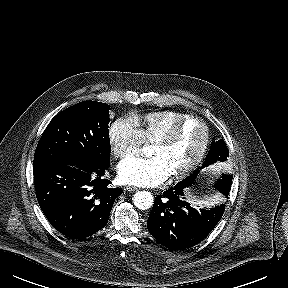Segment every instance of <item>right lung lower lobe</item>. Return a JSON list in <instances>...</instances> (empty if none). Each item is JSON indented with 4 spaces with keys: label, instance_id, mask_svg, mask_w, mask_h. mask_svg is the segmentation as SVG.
Returning <instances> with one entry per match:
<instances>
[{
    "label": "right lung lower lobe",
    "instance_id": "98d812e1",
    "mask_svg": "<svg viewBox=\"0 0 288 288\" xmlns=\"http://www.w3.org/2000/svg\"><path fill=\"white\" fill-rule=\"evenodd\" d=\"M109 164L93 169H74L58 163L34 167L38 203L57 231L83 239L106 226L114 201L122 192L110 188L111 182L104 179Z\"/></svg>",
    "mask_w": 288,
    "mask_h": 288
}]
</instances>
